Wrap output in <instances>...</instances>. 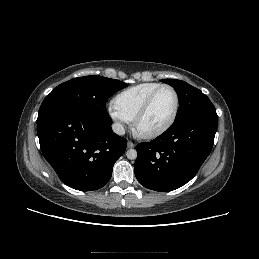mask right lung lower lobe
Masks as SVG:
<instances>
[{"label": "right lung lower lobe", "mask_w": 259, "mask_h": 259, "mask_svg": "<svg viewBox=\"0 0 259 259\" xmlns=\"http://www.w3.org/2000/svg\"><path fill=\"white\" fill-rule=\"evenodd\" d=\"M42 153L69 187L93 191L111 178L127 140L113 133L112 120L78 107H62L37 118Z\"/></svg>", "instance_id": "right-lung-lower-lobe-1"}]
</instances>
